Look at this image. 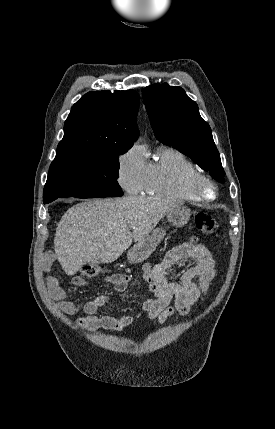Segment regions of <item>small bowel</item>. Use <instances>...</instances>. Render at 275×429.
<instances>
[{
  "label": "small bowel",
  "mask_w": 275,
  "mask_h": 429,
  "mask_svg": "<svg viewBox=\"0 0 275 429\" xmlns=\"http://www.w3.org/2000/svg\"><path fill=\"white\" fill-rule=\"evenodd\" d=\"M184 259L192 260L193 264L182 272L178 281L170 282L167 279L168 271ZM142 270L153 297L143 302L135 316L118 317L112 314H98V310L107 302L106 294L99 295L83 305L69 301L56 280L50 281L49 294L56 308L64 314L82 313L76 319L78 326L90 331L98 329L121 331L141 315L161 324L174 314L187 315L193 305L208 293L216 273L211 252L196 237L169 250L158 264L154 266L144 264ZM106 280L113 284L117 291L122 292L128 287L130 277L123 273H116L107 276ZM72 283L76 286H84L87 281L76 275L72 278ZM172 300L174 305L171 306Z\"/></svg>",
  "instance_id": "1"
}]
</instances>
